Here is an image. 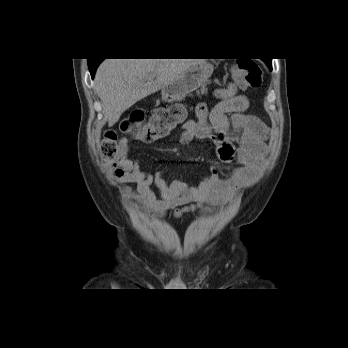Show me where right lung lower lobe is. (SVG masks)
<instances>
[{
    "instance_id": "98d812e1",
    "label": "right lung lower lobe",
    "mask_w": 348,
    "mask_h": 348,
    "mask_svg": "<svg viewBox=\"0 0 348 348\" xmlns=\"http://www.w3.org/2000/svg\"><path fill=\"white\" fill-rule=\"evenodd\" d=\"M101 61L102 60H91L88 63L89 70H90L92 78H94L95 71H96V69H97V67H98V65L100 64Z\"/></svg>"
}]
</instances>
